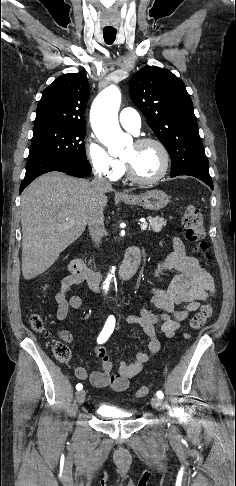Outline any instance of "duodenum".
I'll return each instance as SVG.
<instances>
[{"label": "duodenum", "mask_w": 236, "mask_h": 486, "mask_svg": "<svg viewBox=\"0 0 236 486\" xmlns=\"http://www.w3.org/2000/svg\"><path fill=\"white\" fill-rule=\"evenodd\" d=\"M140 260L141 252L137 246H131L126 250L123 263L119 270V277L121 281H127L135 275L139 267ZM69 268L71 273L78 279L87 281L93 290H97L99 288L101 278L100 274L90 269L79 256H74L71 259Z\"/></svg>", "instance_id": "duodenum-1"}]
</instances>
